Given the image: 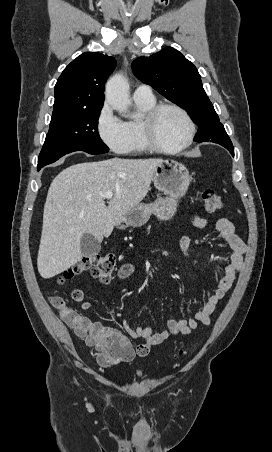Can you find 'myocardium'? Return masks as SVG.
<instances>
[{
    "label": "myocardium",
    "mask_w": 272,
    "mask_h": 452,
    "mask_svg": "<svg viewBox=\"0 0 272 452\" xmlns=\"http://www.w3.org/2000/svg\"><path fill=\"white\" fill-rule=\"evenodd\" d=\"M165 109H172L180 113L187 125V134L185 139L174 147L163 146L159 144L154 137L155 119L157 118L159 113ZM141 130L143 139L149 149L167 154H174L184 150L191 144L195 136V124L192 118L184 108L174 103H161L149 109L142 118Z\"/></svg>",
    "instance_id": "myocardium-1"
}]
</instances>
